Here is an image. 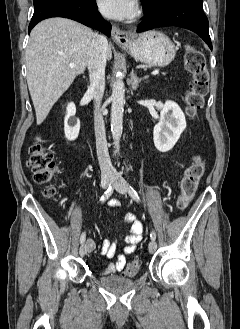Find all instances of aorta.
<instances>
[{
    "label": "aorta",
    "instance_id": "1",
    "mask_svg": "<svg viewBox=\"0 0 240 329\" xmlns=\"http://www.w3.org/2000/svg\"><path fill=\"white\" fill-rule=\"evenodd\" d=\"M125 87L121 77H117L112 86L111 132L115 147H119L123 130V111Z\"/></svg>",
    "mask_w": 240,
    "mask_h": 329
}]
</instances>
